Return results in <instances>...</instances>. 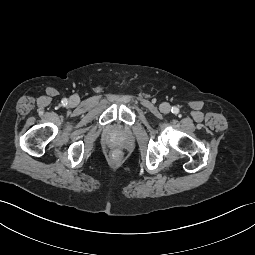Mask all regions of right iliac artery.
<instances>
[{"label": "right iliac artery", "instance_id": "82829eb1", "mask_svg": "<svg viewBox=\"0 0 255 255\" xmlns=\"http://www.w3.org/2000/svg\"><path fill=\"white\" fill-rule=\"evenodd\" d=\"M67 102H68V101H67L66 98L62 100V103H63V104H67Z\"/></svg>", "mask_w": 255, "mask_h": 255}]
</instances>
